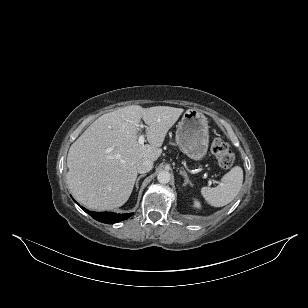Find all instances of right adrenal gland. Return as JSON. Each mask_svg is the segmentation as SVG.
<instances>
[{
  "instance_id": "right-adrenal-gland-1",
  "label": "right adrenal gland",
  "mask_w": 308,
  "mask_h": 308,
  "mask_svg": "<svg viewBox=\"0 0 308 308\" xmlns=\"http://www.w3.org/2000/svg\"><path fill=\"white\" fill-rule=\"evenodd\" d=\"M146 174H141L140 176H138V178H137V180H136V184H135V186H136V190H138V188H139V180L142 178V177H144Z\"/></svg>"
}]
</instances>
